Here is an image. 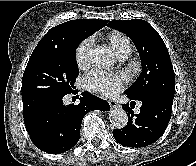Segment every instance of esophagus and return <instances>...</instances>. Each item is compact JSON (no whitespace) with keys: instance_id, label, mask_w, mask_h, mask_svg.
Instances as JSON below:
<instances>
[{"instance_id":"34e87169","label":"esophagus","mask_w":196,"mask_h":166,"mask_svg":"<svg viewBox=\"0 0 196 166\" xmlns=\"http://www.w3.org/2000/svg\"><path fill=\"white\" fill-rule=\"evenodd\" d=\"M109 104L112 109L120 107V105L115 100H112V99L109 100Z\"/></svg>"}]
</instances>
